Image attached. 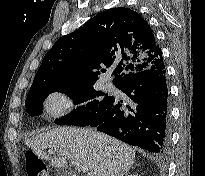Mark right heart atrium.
Listing matches in <instances>:
<instances>
[{"label": "right heart atrium", "mask_w": 205, "mask_h": 176, "mask_svg": "<svg viewBox=\"0 0 205 176\" xmlns=\"http://www.w3.org/2000/svg\"><path fill=\"white\" fill-rule=\"evenodd\" d=\"M71 105L72 100L70 97L60 91L50 93L44 101L45 110L55 117L64 116L71 108Z\"/></svg>", "instance_id": "d8ad5b80"}]
</instances>
